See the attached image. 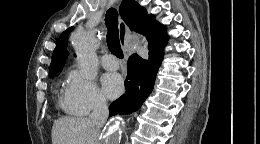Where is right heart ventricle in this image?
<instances>
[{
	"label": "right heart ventricle",
	"instance_id": "right-heart-ventricle-1",
	"mask_svg": "<svg viewBox=\"0 0 260 144\" xmlns=\"http://www.w3.org/2000/svg\"><path fill=\"white\" fill-rule=\"evenodd\" d=\"M60 104L68 113L75 114V112L73 111V109L68 103L66 92L63 94L62 98L60 99Z\"/></svg>",
	"mask_w": 260,
	"mask_h": 144
}]
</instances>
